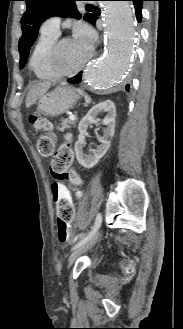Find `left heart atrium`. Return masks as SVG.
Returning <instances> with one entry per match:
<instances>
[{
	"mask_svg": "<svg viewBox=\"0 0 183 329\" xmlns=\"http://www.w3.org/2000/svg\"><path fill=\"white\" fill-rule=\"evenodd\" d=\"M96 39L93 29L85 23H76L73 29V41L81 48L90 51Z\"/></svg>",
	"mask_w": 183,
	"mask_h": 329,
	"instance_id": "obj_1",
	"label": "left heart atrium"
}]
</instances>
